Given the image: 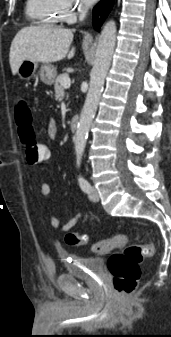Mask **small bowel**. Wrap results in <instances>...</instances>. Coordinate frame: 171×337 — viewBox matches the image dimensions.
I'll list each match as a JSON object with an SVG mask.
<instances>
[{
	"mask_svg": "<svg viewBox=\"0 0 171 337\" xmlns=\"http://www.w3.org/2000/svg\"><path fill=\"white\" fill-rule=\"evenodd\" d=\"M47 135L49 138L54 139L57 136L58 129L57 125L53 120L48 122ZM40 191L44 199H47L51 193L50 185L43 181L40 185ZM85 216L84 212L75 213L67 222L62 223L54 214L49 215L50 225L61 232H68L71 230L83 217Z\"/></svg>",
	"mask_w": 171,
	"mask_h": 337,
	"instance_id": "small-bowel-1",
	"label": "small bowel"
}]
</instances>
